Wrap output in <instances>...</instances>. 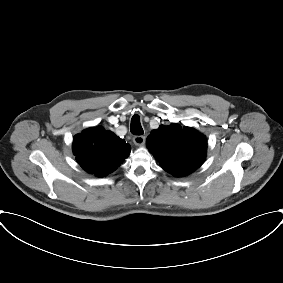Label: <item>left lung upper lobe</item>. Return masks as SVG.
<instances>
[{
  "label": "left lung upper lobe",
  "mask_w": 283,
  "mask_h": 283,
  "mask_svg": "<svg viewBox=\"0 0 283 283\" xmlns=\"http://www.w3.org/2000/svg\"><path fill=\"white\" fill-rule=\"evenodd\" d=\"M146 146L165 171L178 177L186 176L203 164L207 142L195 129L172 124L153 130Z\"/></svg>",
  "instance_id": "5c2ea615"
}]
</instances>
